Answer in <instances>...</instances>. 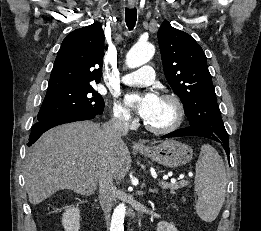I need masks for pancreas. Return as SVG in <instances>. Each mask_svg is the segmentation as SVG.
Instances as JSON below:
<instances>
[{
	"label": "pancreas",
	"instance_id": "1",
	"mask_svg": "<svg viewBox=\"0 0 261 231\" xmlns=\"http://www.w3.org/2000/svg\"><path fill=\"white\" fill-rule=\"evenodd\" d=\"M187 184H179L178 186H173V185H161L163 189L169 190L171 194H175V190L178 188H181L183 186H186Z\"/></svg>",
	"mask_w": 261,
	"mask_h": 231
}]
</instances>
